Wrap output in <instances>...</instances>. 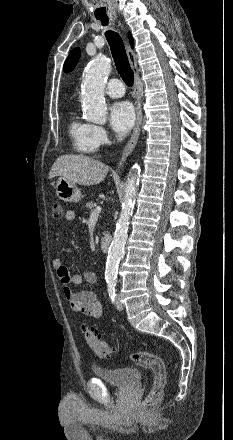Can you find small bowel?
<instances>
[{"label":"small bowel","mask_w":233,"mask_h":440,"mask_svg":"<svg viewBox=\"0 0 233 440\" xmlns=\"http://www.w3.org/2000/svg\"><path fill=\"white\" fill-rule=\"evenodd\" d=\"M65 219L68 222L75 221L76 212L74 210L66 211ZM53 267L60 282L63 295L68 301L71 310L90 318H100L102 316V305L96 295L89 290L73 291L71 289L72 285H80L83 281L91 285L97 284V274L90 270H86L83 273L71 272L62 263L60 258L53 260Z\"/></svg>","instance_id":"obj_1"}]
</instances>
